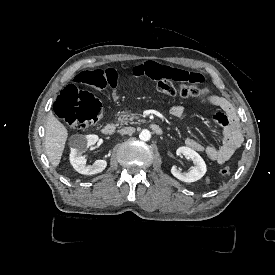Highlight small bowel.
Returning <instances> with one entry per match:
<instances>
[{
  "instance_id": "obj_1",
  "label": "small bowel",
  "mask_w": 275,
  "mask_h": 275,
  "mask_svg": "<svg viewBox=\"0 0 275 275\" xmlns=\"http://www.w3.org/2000/svg\"><path fill=\"white\" fill-rule=\"evenodd\" d=\"M137 73L147 76L152 81H180L184 84H186V79L191 77L195 79V84L197 85L201 84L205 78L204 74L198 70H182L180 67L173 64L160 65L155 62H147L140 65L137 68ZM104 76L106 82L111 84L115 99L120 100L127 97V90L120 89V83L117 81L119 75L115 69L111 67L106 68ZM195 103L217 106L228 117L229 123L222 128L223 141L218 147L205 145L193 138L186 139L185 144L192 150L203 153L208 160L218 164H224L230 160L243 142L237 111L230 101L220 96H213L209 100H200ZM187 106V104L174 105L170 109L171 116L179 121H183Z\"/></svg>"
}]
</instances>
